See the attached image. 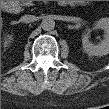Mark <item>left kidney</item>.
Instances as JSON below:
<instances>
[{"mask_svg":"<svg viewBox=\"0 0 109 109\" xmlns=\"http://www.w3.org/2000/svg\"><path fill=\"white\" fill-rule=\"evenodd\" d=\"M95 28H100L104 31V40L99 45H94L89 42V35L84 33L82 36L83 49L89 55L104 56L109 53V21L107 18H102L96 22Z\"/></svg>","mask_w":109,"mask_h":109,"instance_id":"1","label":"left kidney"}]
</instances>
